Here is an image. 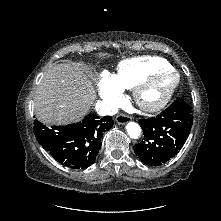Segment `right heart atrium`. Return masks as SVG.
Here are the masks:
<instances>
[{
	"label": "right heart atrium",
	"mask_w": 221,
	"mask_h": 221,
	"mask_svg": "<svg viewBox=\"0 0 221 221\" xmlns=\"http://www.w3.org/2000/svg\"><path fill=\"white\" fill-rule=\"evenodd\" d=\"M99 95L110 109L116 108L122 100L123 89L110 74L103 73L98 80Z\"/></svg>",
	"instance_id": "obj_1"
}]
</instances>
